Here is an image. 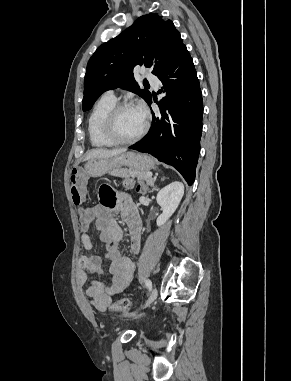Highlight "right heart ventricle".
<instances>
[{
  "label": "right heart ventricle",
  "mask_w": 291,
  "mask_h": 381,
  "mask_svg": "<svg viewBox=\"0 0 291 381\" xmlns=\"http://www.w3.org/2000/svg\"><path fill=\"white\" fill-rule=\"evenodd\" d=\"M115 104L116 99L102 96L92 108L88 118V135L91 145L95 148H109L115 145L102 132V121Z\"/></svg>",
  "instance_id": "e07e8e85"
}]
</instances>
